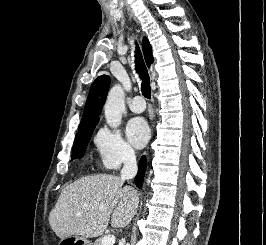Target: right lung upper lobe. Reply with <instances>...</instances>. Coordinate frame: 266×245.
<instances>
[{
  "mask_svg": "<svg viewBox=\"0 0 266 245\" xmlns=\"http://www.w3.org/2000/svg\"><path fill=\"white\" fill-rule=\"evenodd\" d=\"M142 46L146 63L150 66V64L153 63L152 47L147 38L143 39ZM109 86L110 77L107 75H101L93 82L85 104L80 125L99 120V115L106 100Z\"/></svg>",
  "mask_w": 266,
  "mask_h": 245,
  "instance_id": "1",
  "label": "right lung upper lobe"
}]
</instances>
